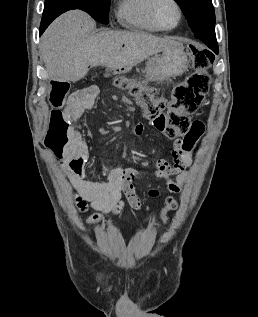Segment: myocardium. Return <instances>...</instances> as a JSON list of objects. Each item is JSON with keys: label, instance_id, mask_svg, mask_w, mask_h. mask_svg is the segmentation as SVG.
Returning a JSON list of instances; mask_svg holds the SVG:
<instances>
[{"label": "myocardium", "instance_id": "1", "mask_svg": "<svg viewBox=\"0 0 258 317\" xmlns=\"http://www.w3.org/2000/svg\"><path fill=\"white\" fill-rule=\"evenodd\" d=\"M163 1H166V0H155L154 1L153 5L151 7V10H150V17H151L153 23L156 25V27L159 30L168 31V30L174 29L179 24V22L181 21V17H182V10H181V6H180V3H179L178 0H169V1L174 2V4L176 5V8H177V20H176V22L173 25L164 26L158 21V19L156 17V13H155L157 6Z\"/></svg>", "mask_w": 258, "mask_h": 317}]
</instances>
